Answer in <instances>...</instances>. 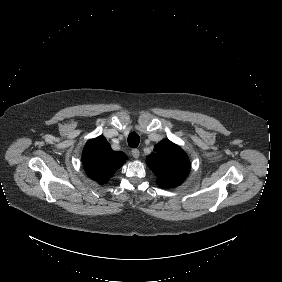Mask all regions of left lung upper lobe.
<instances>
[{"mask_svg":"<svg viewBox=\"0 0 282 282\" xmlns=\"http://www.w3.org/2000/svg\"><path fill=\"white\" fill-rule=\"evenodd\" d=\"M146 162L157 176L156 183L164 189L182 184L190 171V161L186 153L168 139L155 146L154 153L146 158Z\"/></svg>","mask_w":282,"mask_h":282,"instance_id":"left-lung-upper-lobe-1","label":"left lung upper lobe"}]
</instances>
